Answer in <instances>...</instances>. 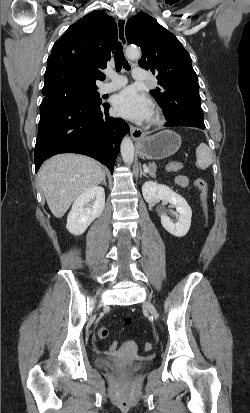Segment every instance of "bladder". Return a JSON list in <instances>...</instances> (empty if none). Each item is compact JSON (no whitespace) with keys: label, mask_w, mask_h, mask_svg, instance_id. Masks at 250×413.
<instances>
[{"label":"bladder","mask_w":250,"mask_h":413,"mask_svg":"<svg viewBox=\"0 0 250 413\" xmlns=\"http://www.w3.org/2000/svg\"><path fill=\"white\" fill-rule=\"evenodd\" d=\"M96 365L100 368L119 370L128 374H133L146 368V364L143 362H124L108 356L98 357Z\"/></svg>","instance_id":"31cf9c89"}]
</instances>
